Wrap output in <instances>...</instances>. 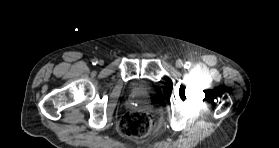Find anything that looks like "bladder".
I'll use <instances>...</instances> for the list:
<instances>
[{
  "label": "bladder",
  "mask_w": 279,
  "mask_h": 148,
  "mask_svg": "<svg viewBox=\"0 0 279 148\" xmlns=\"http://www.w3.org/2000/svg\"><path fill=\"white\" fill-rule=\"evenodd\" d=\"M131 89L144 98H151L155 94V87L146 81H136L133 83Z\"/></svg>",
  "instance_id": "obj_1"
}]
</instances>
